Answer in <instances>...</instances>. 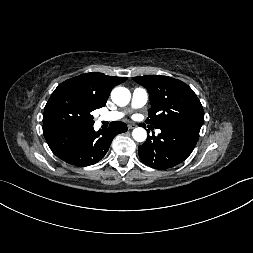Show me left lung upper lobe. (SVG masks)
<instances>
[{
    "label": "left lung upper lobe",
    "mask_w": 253,
    "mask_h": 253,
    "mask_svg": "<svg viewBox=\"0 0 253 253\" xmlns=\"http://www.w3.org/2000/svg\"><path fill=\"white\" fill-rule=\"evenodd\" d=\"M133 80L150 94L147 123L156 128L200 130L204 122L203 107L187 84L156 75L136 76Z\"/></svg>",
    "instance_id": "left-lung-upper-lobe-1"
}]
</instances>
